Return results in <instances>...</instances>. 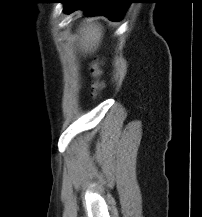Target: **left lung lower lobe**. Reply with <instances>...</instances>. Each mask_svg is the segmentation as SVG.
<instances>
[{"label":"left lung lower lobe","instance_id":"obj_1","mask_svg":"<svg viewBox=\"0 0 202 217\" xmlns=\"http://www.w3.org/2000/svg\"><path fill=\"white\" fill-rule=\"evenodd\" d=\"M65 13L84 10L86 14L104 15L111 21L120 20L126 12L131 0H62Z\"/></svg>","mask_w":202,"mask_h":217}]
</instances>
